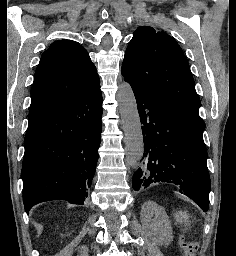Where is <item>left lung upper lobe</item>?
I'll return each instance as SVG.
<instances>
[{
	"mask_svg": "<svg viewBox=\"0 0 236 256\" xmlns=\"http://www.w3.org/2000/svg\"><path fill=\"white\" fill-rule=\"evenodd\" d=\"M122 75L131 85L198 112L200 99L186 56L175 39L138 28L125 52Z\"/></svg>",
	"mask_w": 236,
	"mask_h": 256,
	"instance_id": "obj_1",
	"label": "left lung upper lobe"
}]
</instances>
